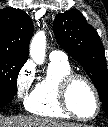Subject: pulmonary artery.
<instances>
[{
	"instance_id": "e3ab8cb5",
	"label": "pulmonary artery",
	"mask_w": 108,
	"mask_h": 127,
	"mask_svg": "<svg viewBox=\"0 0 108 127\" xmlns=\"http://www.w3.org/2000/svg\"><path fill=\"white\" fill-rule=\"evenodd\" d=\"M50 60L52 61H67V55L63 51L53 50L49 55Z\"/></svg>"
}]
</instances>
